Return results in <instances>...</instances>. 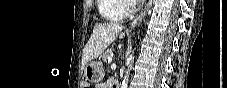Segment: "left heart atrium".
<instances>
[{"mask_svg": "<svg viewBox=\"0 0 227 88\" xmlns=\"http://www.w3.org/2000/svg\"><path fill=\"white\" fill-rule=\"evenodd\" d=\"M141 1L140 0H135L134 3L135 4H139Z\"/></svg>", "mask_w": 227, "mask_h": 88, "instance_id": "obj_1", "label": "left heart atrium"}]
</instances>
